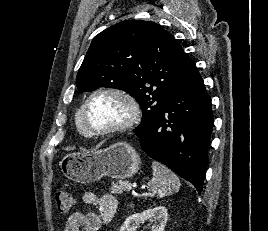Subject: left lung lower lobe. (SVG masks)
<instances>
[{
	"label": "left lung lower lobe",
	"instance_id": "0a47b994",
	"mask_svg": "<svg viewBox=\"0 0 268 231\" xmlns=\"http://www.w3.org/2000/svg\"><path fill=\"white\" fill-rule=\"evenodd\" d=\"M211 99L195 67L168 95L154 125L136 132L145 153L201 193L213 126Z\"/></svg>",
	"mask_w": 268,
	"mask_h": 231
}]
</instances>
